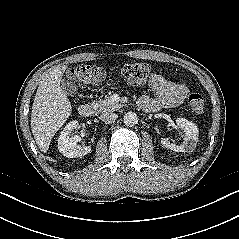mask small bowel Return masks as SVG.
Segmentation results:
<instances>
[{
  "label": "small bowel",
  "instance_id": "1",
  "mask_svg": "<svg viewBox=\"0 0 239 239\" xmlns=\"http://www.w3.org/2000/svg\"><path fill=\"white\" fill-rule=\"evenodd\" d=\"M149 86L156 96L142 95L140 98V106L147 111L176 106L182 103L188 94L185 85L171 82L157 73L151 75Z\"/></svg>",
  "mask_w": 239,
  "mask_h": 239
}]
</instances>
